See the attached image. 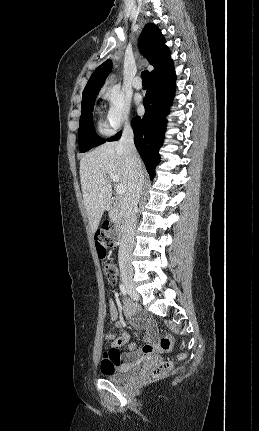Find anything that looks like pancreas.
<instances>
[{
	"label": "pancreas",
	"instance_id": "cf45deb5",
	"mask_svg": "<svg viewBox=\"0 0 259 431\" xmlns=\"http://www.w3.org/2000/svg\"><path fill=\"white\" fill-rule=\"evenodd\" d=\"M109 217L111 221L115 224L116 228H118L121 224V219H122L121 211L118 210L117 208H113L109 213Z\"/></svg>",
	"mask_w": 259,
	"mask_h": 431
}]
</instances>
